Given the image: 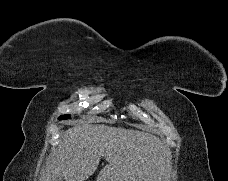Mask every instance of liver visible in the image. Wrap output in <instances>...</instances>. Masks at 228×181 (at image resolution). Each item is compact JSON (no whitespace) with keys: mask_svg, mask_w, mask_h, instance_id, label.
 Segmentation results:
<instances>
[{"mask_svg":"<svg viewBox=\"0 0 228 181\" xmlns=\"http://www.w3.org/2000/svg\"><path fill=\"white\" fill-rule=\"evenodd\" d=\"M96 123H105L97 119ZM41 175L42 181H87L97 171L100 159L107 165L101 169V181H165L171 171L168 145L158 137L91 121L76 123L65 131Z\"/></svg>","mask_w":228,"mask_h":181,"instance_id":"1","label":"liver"}]
</instances>
